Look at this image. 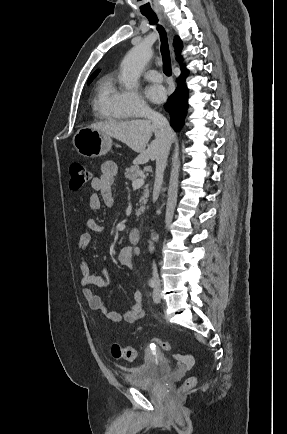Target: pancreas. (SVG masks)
I'll use <instances>...</instances> for the list:
<instances>
[{
  "label": "pancreas",
  "mask_w": 287,
  "mask_h": 434,
  "mask_svg": "<svg viewBox=\"0 0 287 434\" xmlns=\"http://www.w3.org/2000/svg\"><path fill=\"white\" fill-rule=\"evenodd\" d=\"M125 178L130 180V181H134L136 180L139 176H140V168L137 165L131 166L129 168H127L125 170ZM147 198H148V189L147 186H145L144 192H143V196L140 198L139 202L142 205H145L147 202ZM144 207H141L140 209L136 210V215L139 216L141 215V213L143 212Z\"/></svg>",
  "instance_id": "obj_1"
}]
</instances>
